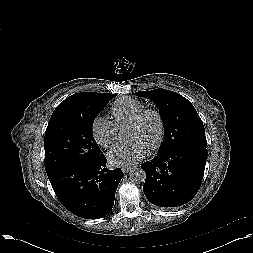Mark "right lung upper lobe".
Instances as JSON below:
<instances>
[{"label": "right lung upper lobe", "mask_w": 253, "mask_h": 253, "mask_svg": "<svg viewBox=\"0 0 253 253\" xmlns=\"http://www.w3.org/2000/svg\"><path fill=\"white\" fill-rule=\"evenodd\" d=\"M106 93H77L69 96L64 101H62L54 111H60L65 109H72V108H81L89 104V102L97 97L102 96Z\"/></svg>", "instance_id": "obj_1"}]
</instances>
